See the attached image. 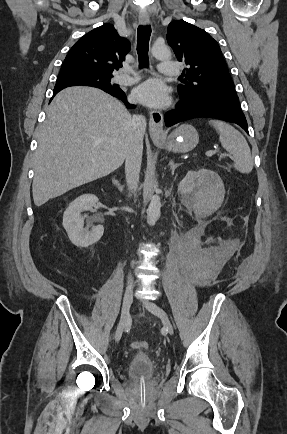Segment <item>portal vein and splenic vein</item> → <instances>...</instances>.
<instances>
[{
    "label": "portal vein and splenic vein",
    "mask_w": 287,
    "mask_h": 434,
    "mask_svg": "<svg viewBox=\"0 0 287 434\" xmlns=\"http://www.w3.org/2000/svg\"><path fill=\"white\" fill-rule=\"evenodd\" d=\"M217 151L216 150H210L206 152V156L211 157L213 156Z\"/></svg>",
    "instance_id": "portal-vein-and-splenic-vein-1"
}]
</instances>
